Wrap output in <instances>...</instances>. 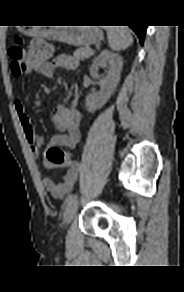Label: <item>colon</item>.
I'll use <instances>...</instances> for the list:
<instances>
[{"instance_id": "5ec220e1", "label": "colon", "mask_w": 184, "mask_h": 292, "mask_svg": "<svg viewBox=\"0 0 184 292\" xmlns=\"http://www.w3.org/2000/svg\"><path fill=\"white\" fill-rule=\"evenodd\" d=\"M11 58V71L19 77L29 71L35 64L45 62L52 54L51 46L43 40L33 41L26 51L17 39L8 51ZM47 159L54 165H66L75 162L70 153L58 146H51L46 152Z\"/></svg>"}]
</instances>
